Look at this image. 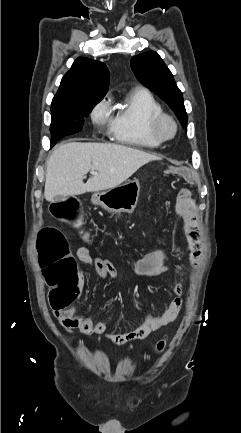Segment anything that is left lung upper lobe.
Here are the masks:
<instances>
[{
  "mask_svg": "<svg viewBox=\"0 0 241 433\" xmlns=\"http://www.w3.org/2000/svg\"><path fill=\"white\" fill-rule=\"evenodd\" d=\"M130 65L137 79L164 100L187 129L182 93L161 57L154 51L145 52L133 57Z\"/></svg>",
  "mask_w": 241,
  "mask_h": 433,
  "instance_id": "left-lung-upper-lobe-1",
  "label": "left lung upper lobe"
}]
</instances>
